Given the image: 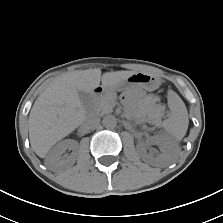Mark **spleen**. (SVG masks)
<instances>
[{
  "label": "spleen",
  "mask_w": 223,
  "mask_h": 223,
  "mask_svg": "<svg viewBox=\"0 0 223 223\" xmlns=\"http://www.w3.org/2000/svg\"><path fill=\"white\" fill-rule=\"evenodd\" d=\"M169 107L171 116L169 120L170 131L178 139H181L188 128V112L182 99L174 92L169 94Z\"/></svg>",
  "instance_id": "3e777b00"
}]
</instances>
